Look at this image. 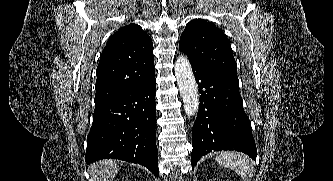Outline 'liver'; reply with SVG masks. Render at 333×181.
Listing matches in <instances>:
<instances>
[{
    "label": "liver",
    "instance_id": "6515ba94",
    "mask_svg": "<svg viewBox=\"0 0 333 181\" xmlns=\"http://www.w3.org/2000/svg\"><path fill=\"white\" fill-rule=\"evenodd\" d=\"M89 181H113L118 172L117 163L112 159L100 160L88 168Z\"/></svg>",
    "mask_w": 333,
    "mask_h": 181
}]
</instances>
